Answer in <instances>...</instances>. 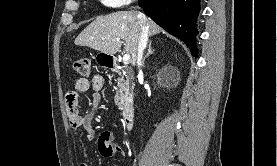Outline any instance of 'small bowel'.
I'll return each instance as SVG.
<instances>
[{"instance_id": "c3829d8e", "label": "small bowel", "mask_w": 277, "mask_h": 166, "mask_svg": "<svg viewBox=\"0 0 277 166\" xmlns=\"http://www.w3.org/2000/svg\"><path fill=\"white\" fill-rule=\"evenodd\" d=\"M104 86V78L96 74L91 80L87 78H79L75 83V90L71 91L66 96V112L69 119V123L72 128L80 129L83 128L87 133V140L92 141L95 138V130L93 129L91 122L96 113L100 102V92ZM89 89L93 91V101L90 110L86 115H81L78 111L79 94L85 93ZM113 133L110 131H104L97 138L98 151L102 156L105 157H122L124 156V150L114 144ZM80 166H88L87 163L83 162Z\"/></svg>"}]
</instances>
